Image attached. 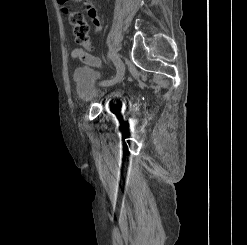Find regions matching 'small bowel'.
<instances>
[{
    "mask_svg": "<svg viewBox=\"0 0 247 245\" xmlns=\"http://www.w3.org/2000/svg\"><path fill=\"white\" fill-rule=\"evenodd\" d=\"M58 3L60 5H65L67 3L68 0H57ZM75 2H81L83 1V3L86 6V12L89 16V18L91 19L93 25H94V32L96 34L100 33L101 29H102V24H101V20L98 16V13L95 9V7L90 3L89 0H74ZM63 11L65 13H69V9L64 7ZM71 57L75 60H79L84 64L90 65V66H94L97 67L100 65V59L95 57L94 55H92L90 52L85 51L81 48H75L71 51Z\"/></svg>",
    "mask_w": 247,
    "mask_h": 245,
    "instance_id": "1",
    "label": "small bowel"
}]
</instances>
